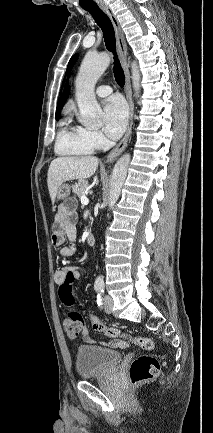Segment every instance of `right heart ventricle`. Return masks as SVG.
<instances>
[{"label": "right heart ventricle", "instance_id": "obj_1", "mask_svg": "<svg viewBox=\"0 0 213 433\" xmlns=\"http://www.w3.org/2000/svg\"><path fill=\"white\" fill-rule=\"evenodd\" d=\"M95 148L86 128L72 125L69 119L64 120L56 139L55 150L58 154L83 156L92 154Z\"/></svg>", "mask_w": 213, "mask_h": 433}]
</instances>
